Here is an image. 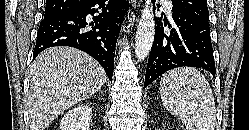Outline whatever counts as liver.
<instances>
[{
  "instance_id": "liver-1",
  "label": "liver",
  "mask_w": 249,
  "mask_h": 130,
  "mask_svg": "<svg viewBox=\"0 0 249 130\" xmlns=\"http://www.w3.org/2000/svg\"><path fill=\"white\" fill-rule=\"evenodd\" d=\"M106 81L100 64L78 49L43 51L30 70V130H45L61 113L98 92Z\"/></svg>"
}]
</instances>
